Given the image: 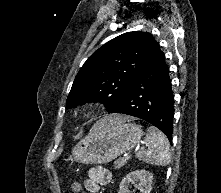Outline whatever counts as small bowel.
Segmentation results:
<instances>
[{"label": "small bowel", "mask_w": 221, "mask_h": 193, "mask_svg": "<svg viewBox=\"0 0 221 193\" xmlns=\"http://www.w3.org/2000/svg\"><path fill=\"white\" fill-rule=\"evenodd\" d=\"M112 180L111 172L101 166L92 167L88 171V177L84 181L85 189L90 193H98L100 188Z\"/></svg>", "instance_id": "obj_1"}]
</instances>
